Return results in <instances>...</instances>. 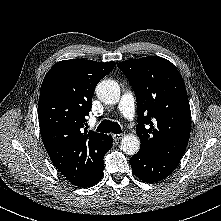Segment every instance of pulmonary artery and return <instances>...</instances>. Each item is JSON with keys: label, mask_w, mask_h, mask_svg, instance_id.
Returning <instances> with one entry per match:
<instances>
[{"label": "pulmonary artery", "mask_w": 221, "mask_h": 221, "mask_svg": "<svg viewBox=\"0 0 221 221\" xmlns=\"http://www.w3.org/2000/svg\"><path fill=\"white\" fill-rule=\"evenodd\" d=\"M118 109L129 122H134L136 120L135 100L129 91H126L120 98Z\"/></svg>", "instance_id": "e3ab8cb5"}]
</instances>
